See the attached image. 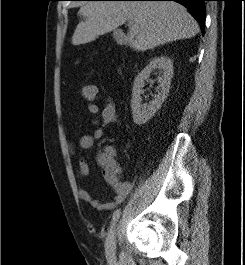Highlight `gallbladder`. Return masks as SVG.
I'll use <instances>...</instances> for the list:
<instances>
[{
  "mask_svg": "<svg viewBox=\"0 0 245 265\" xmlns=\"http://www.w3.org/2000/svg\"><path fill=\"white\" fill-rule=\"evenodd\" d=\"M117 32H118V31H115L114 35H116Z\"/></svg>",
  "mask_w": 245,
  "mask_h": 265,
  "instance_id": "1",
  "label": "gallbladder"
}]
</instances>
